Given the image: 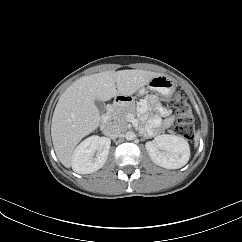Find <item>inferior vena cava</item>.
Wrapping results in <instances>:
<instances>
[{"label":"inferior vena cava","mask_w":242,"mask_h":242,"mask_svg":"<svg viewBox=\"0 0 242 242\" xmlns=\"http://www.w3.org/2000/svg\"><path fill=\"white\" fill-rule=\"evenodd\" d=\"M122 132V127L116 123H113L109 126H107L105 130L106 136H108L111 139H115L120 136Z\"/></svg>","instance_id":"inferior-vena-cava-1"}]
</instances>
